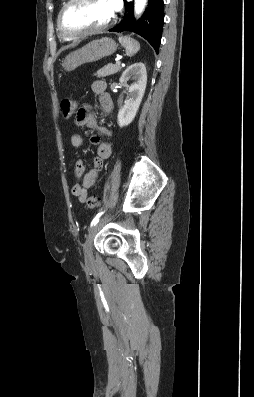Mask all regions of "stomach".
I'll return each mask as SVG.
<instances>
[{
  "label": "stomach",
  "instance_id": "1",
  "mask_svg": "<svg viewBox=\"0 0 254 397\" xmlns=\"http://www.w3.org/2000/svg\"><path fill=\"white\" fill-rule=\"evenodd\" d=\"M116 49L117 44L113 39L109 37L96 39L69 53L62 62V67L65 71H72L85 63L95 62L110 56Z\"/></svg>",
  "mask_w": 254,
  "mask_h": 397
}]
</instances>
